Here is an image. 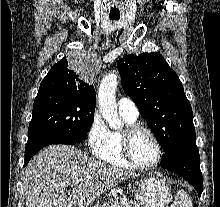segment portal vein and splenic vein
<instances>
[{"label":"portal vein and splenic vein","instance_id":"1","mask_svg":"<svg viewBox=\"0 0 220 207\" xmlns=\"http://www.w3.org/2000/svg\"><path fill=\"white\" fill-rule=\"evenodd\" d=\"M78 182H79V181H77V180H76V181H72L71 186H74V185L78 184Z\"/></svg>","mask_w":220,"mask_h":207}]
</instances>
